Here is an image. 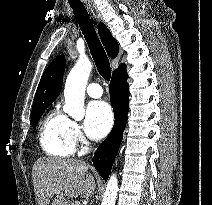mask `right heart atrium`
I'll return each instance as SVG.
<instances>
[{"instance_id":"1","label":"right heart atrium","mask_w":212,"mask_h":205,"mask_svg":"<svg viewBox=\"0 0 212 205\" xmlns=\"http://www.w3.org/2000/svg\"><path fill=\"white\" fill-rule=\"evenodd\" d=\"M70 130L75 145L80 144L84 141L81 128L77 122L71 121Z\"/></svg>"}]
</instances>
